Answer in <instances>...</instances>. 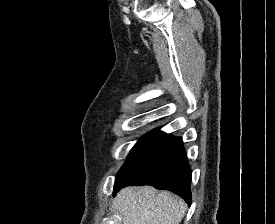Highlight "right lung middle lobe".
<instances>
[{
    "label": "right lung middle lobe",
    "mask_w": 275,
    "mask_h": 224,
    "mask_svg": "<svg viewBox=\"0 0 275 224\" xmlns=\"http://www.w3.org/2000/svg\"><path fill=\"white\" fill-rule=\"evenodd\" d=\"M149 134L145 135L144 137H142L137 144L133 147V149L130 152L129 158L131 157V155L135 152V150L139 147V145L143 142V140L148 136ZM128 158V159H129ZM123 167V166H122Z\"/></svg>",
    "instance_id": "right-lung-middle-lobe-1"
}]
</instances>
